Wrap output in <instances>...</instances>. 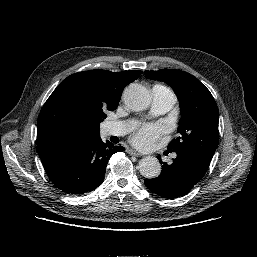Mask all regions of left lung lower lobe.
Listing matches in <instances>:
<instances>
[{"mask_svg":"<svg viewBox=\"0 0 257 257\" xmlns=\"http://www.w3.org/2000/svg\"><path fill=\"white\" fill-rule=\"evenodd\" d=\"M171 165L162 163L161 174L145 179V185L155 194L168 199L186 195L206 173L212 157L196 150H180Z\"/></svg>","mask_w":257,"mask_h":257,"instance_id":"0a47b994","label":"left lung lower lobe"}]
</instances>
